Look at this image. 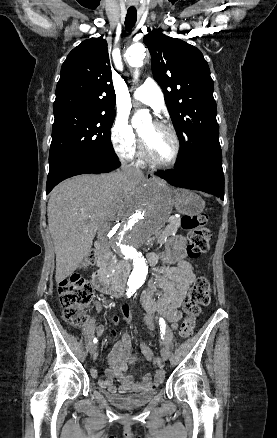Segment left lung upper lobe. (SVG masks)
<instances>
[{
    "label": "left lung upper lobe",
    "mask_w": 277,
    "mask_h": 438,
    "mask_svg": "<svg viewBox=\"0 0 277 438\" xmlns=\"http://www.w3.org/2000/svg\"><path fill=\"white\" fill-rule=\"evenodd\" d=\"M143 41L182 146L177 168L221 155L214 83L200 50L180 39L163 36L160 30H149Z\"/></svg>",
    "instance_id": "obj_1"
}]
</instances>
